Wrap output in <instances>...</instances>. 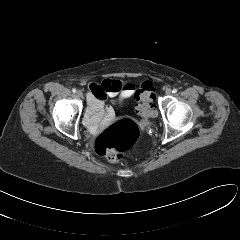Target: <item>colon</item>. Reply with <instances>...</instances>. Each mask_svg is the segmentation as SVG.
Returning <instances> with one entry per match:
<instances>
[{"label":"colon","instance_id":"colon-1","mask_svg":"<svg viewBox=\"0 0 240 240\" xmlns=\"http://www.w3.org/2000/svg\"><path fill=\"white\" fill-rule=\"evenodd\" d=\"M153 85L143 82L136 91L137 114L141 117V124L130 119H121L104 130L95 141L96 152L106 157L110 162H118L123 153L133 148L140 137L141 129L147 126L149 118L156 115L154 104L155 94Z\"/></svg>","mask_w":240,"mask_h":240}]
</instances>
